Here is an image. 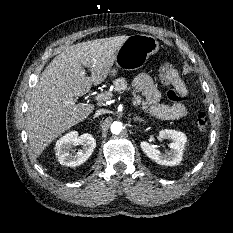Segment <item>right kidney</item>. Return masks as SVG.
Here are the masks:
<instances>
[{
    "label": "right kidney",
    "instance_id": "obj_1",
    "mask_svg": "<svg viewBox=\"0 0 233 233\" xmlns=\"http://www.w3.org/2000/svg\"><path fill=\"white\" fill-rule=\"evenodd\" d=\"M72 145H81V148L74 152ZM95 147L96 140L91 134L85 133L78 136L77 131H71L57 140L55 149L61 165L75 167L83 164L91 156Z\"/></svg>",
    "mask_w": 233,
    "mask_h": 233
}]
</instances>
